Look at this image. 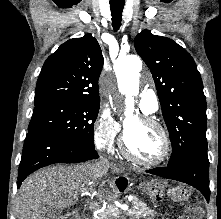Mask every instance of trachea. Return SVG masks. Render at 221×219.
Returning a JSON list of instances; mask_svg holds the SVG:
<instances>
[{"mask_svg":"<svg viewBox=\"0 0 221 219\" xmlns=\"http://www.w3.org/2000/svg\"><path fill=\"white\" fill-rule=\"evenodd\" d=\"M125 2H111L112 27L115 31L119 30L122 22V12Z\"/></svg>","mask_w":221,"mask_h":219,"instance_id":"3493384b","label":"trachea"}]
</instances>
